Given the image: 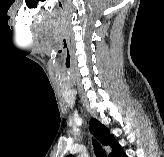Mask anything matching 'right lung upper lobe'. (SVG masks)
Segmentation results:
<instances>
[{
	"instance_id": "1",
	"label": "right lung upper lobe",
	"mask_w": 164,
	"mask_h": 157,
	"mask_svg": "<svg viewBox=\"0 0 164 157\" xmlns=\"http://www.w3.org/2000/svg\"><path fill=\"white\" fill-rule=\"evenodd\" d=\"M90 126L93 131V133L96 135V137L99 139V141L103 145H108L112 148V152L118 147V143L115 140L114 135H111L109 132V129L105 127L103 124H101L96 119L90 120ZM112 154V153H111ZM108 157H110V155ZM67 157H73L72 155H68Z\"/></svg>"
}]
</instances>
